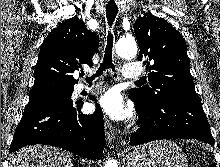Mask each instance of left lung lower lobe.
I'll return each instance as SVG.
<instances>
[{
  "instance_id": "1",
  "label": "left lung lower lobe",
  "mask_w": 220,
  "mask_h": 167,
  "mask_svg": "<svg viewBox=\"0 0 220 167\" xmlns=\"http://www.w3.org/2000/svg\"><path fill=\"white\" fill-rule=\"evenodd\" d=\"M130 96L136 103L140 124V129L131 134V146L170 138L198 139L214 145L199 97L169 93L157 103L145 104Z\"/></svg>"
}]
</instances>
